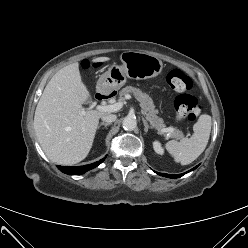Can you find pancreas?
<instances>
[{"instance_id": "obj_1", "label": "pancreas", "mask_w": 248, "mask_h": 248, "mask_svg": "<svg viewBox=\"0 0 248 248\" xmlns=\"http://www.w3.org/2000/svg\"><path fill=\"white\" fill-rule=\"evenodd\" d=\"M129 93H132L135 96V98L140 102V106L143 109L142 113L145 115L146 119L150 122L151 126L155 127L156 129H158L159 133L163 134L162 131L167 128H165L166 126L164 124L163 119L157 116L158 112L157 110H155V105L153 103V100L150 98V96L136 87L127 86L120 91L119 101H124L125 96ZM166 133H168L169 137L176 139H179L183 136L182 132H180L175 128H173V131H169Z\"/></svg>"}]
</instances>
